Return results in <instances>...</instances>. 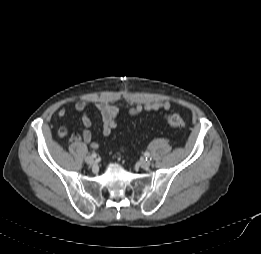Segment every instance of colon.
<instances>
[{
  "label": "colon",
  "instance_id": "obj_1",
  "mask_svg": "<svg viewBox=\"0 0 261 254\" xmlns=\"http://www.w3.org/2000/svg\"><path fill=\"white\" fill-rule=\"evenodd\" d=\"M166 122L169 126L177 129L185 128V122L183 118L177 113L167 114L165 116Z\"/></svg>",
  "mask_w": 261,
  "mask_h": 254
}]
</instances>
